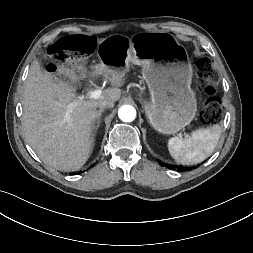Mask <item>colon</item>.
<instances>
[{
    "label": "colon",
    "instance_id": "1",
    "mask_svg": "<svg viewBox=\"0 0 253 253\" xmlns=\"http://www.w3.org/2000/svg\"><path fill=\"white\" fill-rule=\"evenodd\" d=\"M94 46V39L89 36L76 35L63 38L57 42L54 51L58 64L51 66L55 69L57 65L65 68L73 65L80 66L93 52ZM196 69L199 85L207 95L201 117L207 123H216L222 117V106L216 96L219 77L211 70L210 62L206 58H201L196 62Z\"/></svg>",
    "mask_w": 253,
    "mask_h": 253
}]
</instances>
